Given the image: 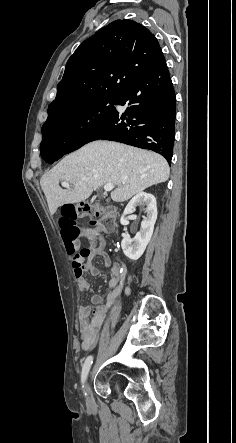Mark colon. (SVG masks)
<instances>
[{"label":"colon","instance_id":"colon-1","mask_svg":"<svg viewBox=\"0 0 236 443\" xmlns=\"http://www.w3.org/2000/svg\"><path fill=\"white\" fill-rule=\"evenodd\" d=\"M78 218H88L90 224H98L100 232L110 231L115 222L114 210L107 206L81 202L79 204H64L59 211L58 223L72 267L82 269L84 259L89 256L90 249L81 247L82 231L77 225Z\"/></svg>","mask_w":236,"mask_h":443}]
</instances>
